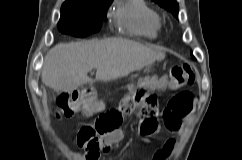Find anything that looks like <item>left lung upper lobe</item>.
<instances>
[{
    "label": "left lung upper lobe",
    "mask_w": 242,
    "mask_h": 160,
    "mask_svg": "<svg viewBox=\"0 0 242 160\" xmlns=\"http://www.w3.org/2000/svg\"><path fill=\"white\" fill-rule=\"evenodd\" d=\"M161 7L165 8L166 10L170 11L175 17L178 16V3L175 0H153Z\"/></svg>",
    "instance_id": "1"
}]
</instances>
